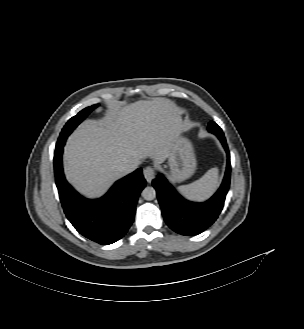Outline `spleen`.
Instances as JSON below:
<instances>
[{"label":"spleen","mask_w":304,"mask_h":329,"mask_svg":"<svg viewBox=\"0 0 304 329\" xmlns=\"http://www.w3.org/2000/svg\"><path fill=\"white\" fill-rule=\"evenodd\" d=\"M218 184V169L208 170L200 179L193 183L182 185L178 189L187 198L202 201L208 198Z\"/></svg>","instance_id":"3e777b00"}]
</instances>
